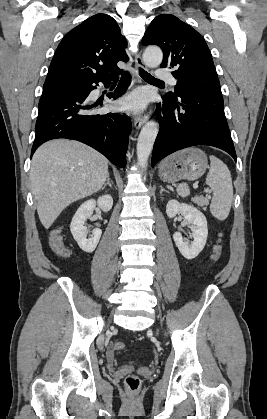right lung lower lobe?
<instances>
[{
  "label": "right lung lower lobe",
  "mask_w": 267,
  "mask_h": 419,
  "mask_svg": "<svg viewBox=\"0 0 267 419\" xmlns=\"http://www.w3.org/2000/svg\"><path fill=\"white\" fill-rule=\"evenodd\" d=\"M114 76L82 83L46 84L39 101L36 136L31 155L44 142L56 138L81 141L107 157L113 164L125 167L131 121L126 114H94L98 104H89L88 95L99 82L108 85ZM124 72L115 93L116 99L130 85ZM102 103H100L101 105Z\"/></svg>",
  "instance_id": "98d812e1"
}]
</instances>
